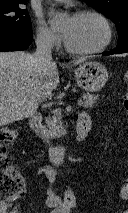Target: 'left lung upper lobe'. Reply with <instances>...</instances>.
Segmentation results:
<instances>
[{"mask_svg":"<svg viewBox=\"0 0 128 213\" xmlns=\"http://www.w3.org/2000/svg\"><path fill=\"white\" fill-rule=\"evenodd\" d=\"M110 18L118 29V45L128 43V0H84Z\"/></svg>","mask_w":128,"mask_h":213,"instance_id":"5c2ea615","label":"left lung upper lobe"}]
</instances>
